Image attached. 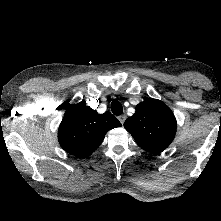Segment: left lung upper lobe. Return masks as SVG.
Masks as SVG:
<instances>
[{
    "instance_id": "1",
    "label": "left lung upper lobe",
    "mask_w": 221,
    "mask_h": 221,
    "mask_svg": "<svg viewBox=\"0 0 221 221\" xmlns=\"http://www.w3.org/2000/svg\"><path fill=\"white\" fill-rule=\"evenodd\" d=\"M125 129L144 150L159 154L172 142L176 119L162 101L146 99L136 106V112L124 123Z\"/></svg>"
}]
</instances>
